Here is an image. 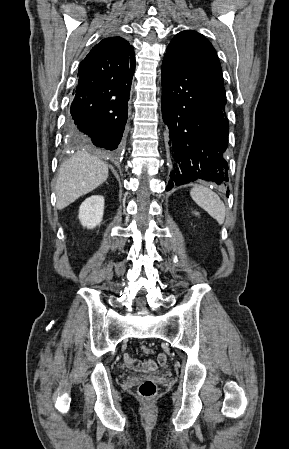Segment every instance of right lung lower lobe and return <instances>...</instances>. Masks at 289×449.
<instances>
[{
	"label": "right lung lower lobe",
	"instance_id": "obj_1",
	"mask_svg": "<svg viewBox=\"0 0 289 449\" xmlns=\"http://www.w3.org/2000/svg\"><path fill=\"white\" fill-rule=\"evenodd\" d=\"M134 70L135 67L121 71L112 78H79L67 120L70 134L115 151L120 146L127 122Z\"/></svg>",
	"mask_w": 289,
	"mask_h": 449
}]
</instances>
